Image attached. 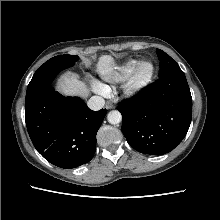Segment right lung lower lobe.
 Wrapping results in <instances>:
<instances>
[{"instance_id":"obj_1","label":"right lung lower lobe","mask_w":220,"mask_h":220,"mask_svg":"<svg viewBox=\"0 0 220 220\" xmlns=\"http://www.w3.org/2000/svg\"><path fill=\"white\" fill-rule=\"evenodd\" d=\"M106 109L90 110L78 97H64L48 86L26 99L25 120L37 151L65 169L89 162Z\"/></svg>"}]
</instances>
